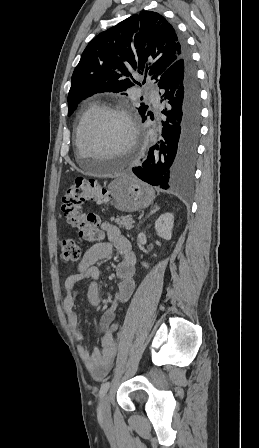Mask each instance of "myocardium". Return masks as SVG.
I'll list each match as a JSON object with an SVG mask.
<instances>
[{"mask_svg":"<svg viewBox=\"0 0 259 448\" xmlns=\"http://www.w3.org/2000/svg\"><path fill=\"white\" fill-rule=\"evenodd\" d=\"M119 114L122 116L130 130V137L128 142L118 149L119 155L129 152L133 149L137 141L138 129L136 121L130 111V109L122 103H115L110 105L101 106L92 116H90L83 124L79 135V151L77 153V163H82L83 150L89 149L88 135L92 127L104 116L108 114ZM127 194V193H126Z\"/></svg>","mask_w":259,"mask_h":448,"instance_id":"myocardium-1","label":"myocardium"}]
</instances>
